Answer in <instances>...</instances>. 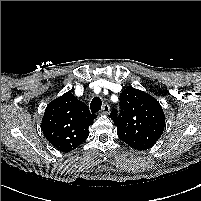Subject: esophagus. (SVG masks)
Instances as JSON below:
<instances>
[{"label":"esophagus","instance_id":"1","mask_svg":"<svg viewBox=\"0 0 201 201\" xmlns=\"http://www.w3.org/2000/svg\"><path fill=\"white\" fill-rule=\"evenodd\" d=\"M109 112H110V106L108 104H104L100 113L107 115L109 114Z\"/></svg>","mask_w":201,"mask_h":201}]
</instances>
